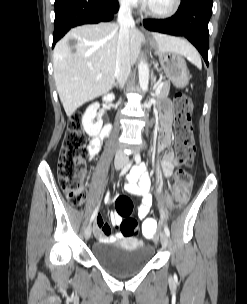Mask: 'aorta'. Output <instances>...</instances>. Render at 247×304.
Here are the masks:
<instances>
[{"instance_id":"obj_1","label":"aorta","mask_w":247,"mask_h":304,"mask_svg":"<svg viewBox=\"0 0 247 304\" xmlns=\"http://www.w3.org/2000/svg\"><path fill=\"white\" fill-rule=\"evenodd\" d=\"M139 85L143 92L148 90L149 84V67L145 60H140L138 65Z\"/></svg>"}]
</instances>
